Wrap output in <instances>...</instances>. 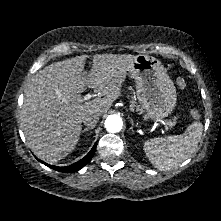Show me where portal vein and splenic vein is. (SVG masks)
Instances as JSON below:
<instances>
[{
	"label": "portal vein and splenic vein",
	"mask_w": 221,
	"mask_h": 221,
	"mask_svg": "<svg viewBox=\"0 0 221 221\" xmlns=\"http://www.w3.org/2000/svg\"><path fill=\"white\" fill-rule=\"evenodd\" d=\"M92 96H91V94H87V95H85L84 96V101H87V100H89L90 98H91ZM162 124L165 126V128H168V126H171L169 123H166V122H164V121H162Z\"/></svg>",
	"instance_id": "obj_1"
}]
</instances>
